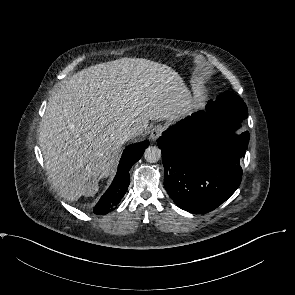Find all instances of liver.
I'll return each mask as SVG.
<instances>
[{
	"instance_id": "liver-1",
	"label": "liver",
	"mask_w": 295,
	"mask_h": 295,
	"mask_svg": "<svg viewBox=\"0 0 295 295\" xmlns=\"http://www.w3.org/2000/svg\"><path fill=\"white\" fill-rule=\"evenodd\" d=\"M192 102L175 70L144 58L125 57L73 74L50 98L40 125L53 186L69 201L93 196L113 169L119 134L135 128L139 135L149 120L173 121Z\"/></svg>"
}]
</instances>
